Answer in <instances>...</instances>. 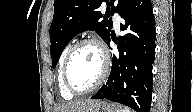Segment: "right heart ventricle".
<instances>
[{"mask_svg":"<svg viewBox=\"0 0 193 112\" xmlns=\"http://www.w3.org/2000/svg\"><path fill=\"white\" fill-rule=\"evenodd\" d=\"M71 47V43H68L62 50L59 61H58V68H57V78H58V88H59V93L64 99H71L73 95L66 89L63 81V76H62V68H63V63L64 59L66 57V54L68 50Z\"/></svg>","mask_w":193,"mask_h":112,"instance_id":"1","label":"right heart ventricle"}]
</instances>
